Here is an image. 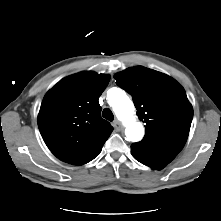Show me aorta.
<instances>
[{
    "label": "aorta",
    "mask_w": 221,
    "mask_h": 221,
    "mask_svg": "<svg viewBox=\"0 0 221 221\" xmlns=\"http://www.w3.org/2000/svg\"><path fill=\"white\" fill-rule=\"evenodd\" d=\"M111 105L117 118L126 126L125 135L129 141L138 142L144 136V127L135 122V107L125 92L117 90L111 99Z\"/></svg>",
    "instance_id": "1"
}]
</instances>
